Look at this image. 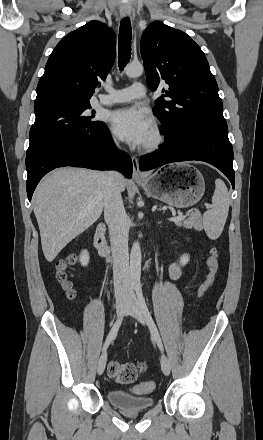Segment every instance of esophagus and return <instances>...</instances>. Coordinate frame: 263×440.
<instances>
[{
    "mask_svg": "<svg viewBox=\"0 0 263 440\" xmlns=\"http://www.w3.org/2000/svg\"><path fill=\"white\" fill-rule=\"evenodd\" d=\"M130 14H131V12L129 10H121V12H120V15L122 18L129 17ZM131 159H132V166H133V174H132L133 179L137 180V179L144 178V174L140 171V168H139L138 158L136 156H132Z\"/></svg>",
    "mask_w": 263,
    "mask_h": 440,
    "instance_id": "obj_1",
    "label": "esophagus"
}]
</instances>
